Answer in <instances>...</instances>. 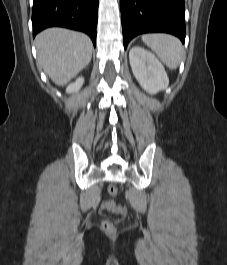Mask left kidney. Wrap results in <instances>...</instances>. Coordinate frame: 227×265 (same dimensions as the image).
I'll use <instances>...</instances> for the list:
<instances>
[{"label": "left kidney", "instance_id": "obj_1", "mask_svg": "<svg viewBox=\"0 0 227 265\" xmlns=\"http://www.w3.org/2000/svg\"><path fill=\"white\" fill-rule=\"evenodd\" d=\"M129 60L135 78L148 93L156 94L167 88L169 85L167 73L151 52L134 46L129 52Z\"/></svg>", "mask_w": 227, "mask_h": 265}]
</instances>
